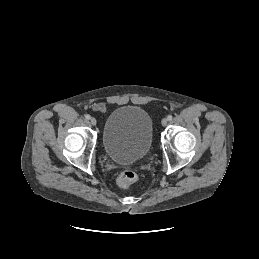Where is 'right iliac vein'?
<instances>
[{"label": "right iliac vein", "mask_w": 259, "mask_h": 259, "mask_svg": "<svg viewBox=\"0 0 259 259\" xmlns=\"http://www.w3.org/2000/svg\"><path fill=\"white\" fill-rule=\"evenodd\" d=\"M90 123H91L93 126H95L96 123H97V121H96V119H95L94 117H92V118H90Z\"/></svg>", "instance_id": "obj_1"}]
</instances>
